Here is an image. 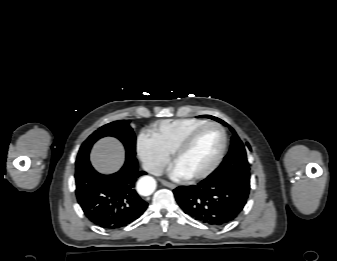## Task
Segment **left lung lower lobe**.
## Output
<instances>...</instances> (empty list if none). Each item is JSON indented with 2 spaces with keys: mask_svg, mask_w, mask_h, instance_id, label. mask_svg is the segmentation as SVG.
<instances>
[{
  "mask_svg": "<svg viewBox=\"0 0 337 261\" xmlns=\"http://www.w3.org/2000/svg\"><path fill=\"white\" fill-rule=\"evenodd\" d=\"M174 195L186 214L211 226L233 221L248 199V194L232 182L208 177L197 185L176 188Z\"/></svg>",
  "mask_w": 337,
  "mask_h": 261,
  "instance_id": "1",
  "label": "left lung lower lobe"
}]
</instances>
